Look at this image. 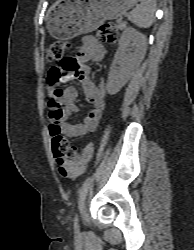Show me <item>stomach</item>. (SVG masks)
Here are the masks:
<instances>
[{
    "mask_svg": "<svg viewBox=\"0 0 194 250\" xmlns=\"http://www.w3.org/2000/svg\"><path fill=\"white\" fill-rule=\"evenodd\" d=\"M138 0H59L48 15L49 33L56 39L69 40L97 29L105 20L116 19Z\"/></svg>",
    "mask_w": 194,
    "mask_h": 250,
    "instance_id": "obj_1",
    "label": "stomach"
}]
</instances>
